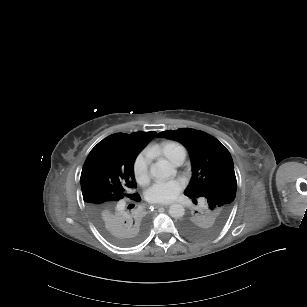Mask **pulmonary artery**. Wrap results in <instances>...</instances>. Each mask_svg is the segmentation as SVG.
I'll list each match as a JSON object with an SVG mask.
<instances>
[{"label": "pulmonary artery", "mask_w": 307, "mask_h": 307, "mask_svg": "<svg viewBox=\"0 0 307 307\" xmlns=\"http://www.w3.org/2000/svg\"><path fill=\"white\" fill-rule=\"evenodd\" d=\"M156 153H163L174 165H181L185 158H186V152L182 150H168L163 149L158 146L153 147ZM122 207L125 206V202H122Z\"/></svg>", "instance_id": "obj_1"}]
</instances>
